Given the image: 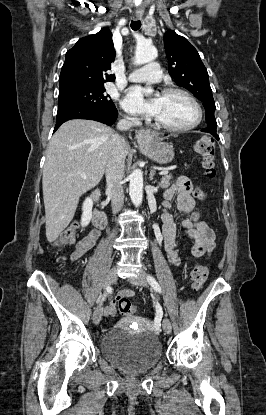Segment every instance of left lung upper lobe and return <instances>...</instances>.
<instances>
[{"instance_id":"5c2ea615","label":"left lung upper lobe","mask_w":266,"mask_h":415,"mask_svg":"<svg viewBox=\"0 0 266 415\" xmlns=\"http://www.w3.org/2000/svg\"><path fill=\"white\" fill-rule=\"evenodd\" d=\"M164 44L169 62L168 72L170 76L174 78L177 85L186 88L203 102L206 111L207 128L202 131L209 132L217 138V123L214 117L215 102L207 69L202 63L197 50L185 37L171 30L165 32Z\"/></svg>"}]
</instances>
